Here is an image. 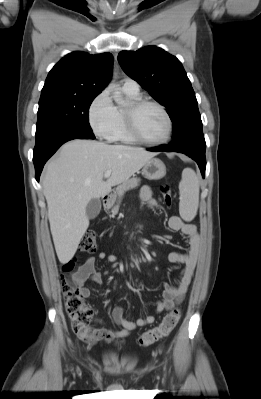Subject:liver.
I'll list each match as a JSON object with an SVG mask.
<instances>
[{"mask_svg":"<svg viewBox=\"0 0 261 399\" xmlns=\"http://www.w3.org/2000/svg\"><path fill=\"white\" fill-rule=\"evenodd\" d=\"M155 153L126 145L75 139L46 166L42 187L55 250L62 264L77 251L89 226L86 206L139 171ZM110 177L103 181L106 171Z\"/></svg>","mask_w":261,"mask_h":399,"instance_id":"1","label":"liver"}]
</instances>
